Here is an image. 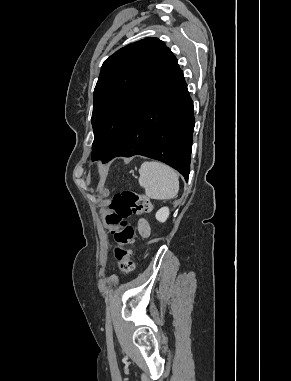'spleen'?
<instances>
[{
	"instance_id": "1",
	"label": "spleen",
	"mask_w": 291,
	"mask_h": 381,
	"mask_svg": "<svg viewBox=\"0 0 291 381\" xmlns=\"http://www.w3.org/2000/svg\"><path fill=\"white\" fill-rule=\"evenodd\" d=\"M139 174V185L145 189L147 197L168 200L177 196L179 178L171 167L157 161H145Z\"/></svg>"
}]
</instances>
